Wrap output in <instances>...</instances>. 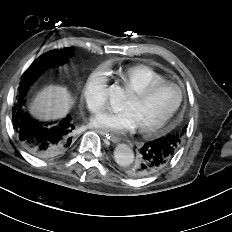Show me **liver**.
Wrapping results in <instances>:
<instances>
[{"label": "liver", "instance_id": "liver-1", "mask_svg": "<svg viewBox=\"0 0 232 232\" xmlns=\"http://www.w3.org/2000/svg\"><path fill=\"white\" fill-rule=\"evenodd\" d=\"M73 99L65 87L50 85L39 92L31 105V113L43 120L65 116Z\"/></svg>", "mask_w": 232, "mask_h": 232}]
</instances>
